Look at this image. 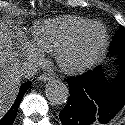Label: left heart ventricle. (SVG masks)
Listing matches in <instances>:
<instances>
[{"label":"left heart ventricle","instance_id":"left-heart-ventricle-1","mask_svg":"<svg viewBox=\"0 0 125 125\" xmlns=\"http://www.w3.org/2000/svg\"><path fill=\"white\" fill-rule=\"evenodd\" d=\"M99 38L100 31L98 29L91 30L83 37L77 49L71 52L69 57L74 60H78L90 54L94 50Z\"/></svg>","mask_w":125,"mask_h":125}]
</instances>
